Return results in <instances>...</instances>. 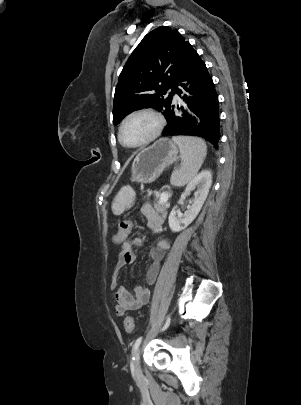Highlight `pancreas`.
Returning <instances> with one entry per match:
<instances>
[{"instance_id": "cf45deb5", "label": "pancreas", "mask_w": 301, "mask_h": 405, "mask_svg": "<svg viewBox=\"0 0 301 405\" xmlns=\"http://www.w3.org/2000/svg\"><path fill=\"white\" fill-rule=\"evenodd\" d=\"M168 195V194H167ZM155 209L159 212V213H166V209H167V201H161L160 199L156 202L155 204Z\"/></svg>"}]
</instances>
